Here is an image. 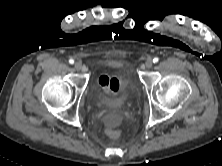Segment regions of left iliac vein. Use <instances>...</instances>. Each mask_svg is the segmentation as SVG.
<instances>
[{
	"label": "left iliac vein",
	"instance_id": "4c4485c4",
	"mask_svg": "<svg viewBox=\"0 0 222 166\" xmlns=\"http://www.w3.org/2000/svg\"><path fill=\"white\" fill-rule=\"evenodd\" d=\"M153 66V61L151 59H148L146 62H145V67L146 68H151Z\"/></svg>",
	"mask_w": 222,
	"mask_h": 166
}]
</instances>
